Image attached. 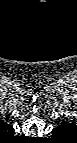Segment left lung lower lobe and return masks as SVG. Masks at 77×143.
I'll return each mask as SVG.
<instances>
[{
    "label": "left lung lower lobe",
    "mask_w": 77,
    "mask_h": 143,
    "mask_svg": "<svg viewBox=\"0 0 77 143\" xmlns=\"http://www.w3.org/2000/svg\"><path fill=\"white\" fill-rule=\"evenodd\" d=\"M52 133H53V136H54V137H59V136H60V134H59L58 132H57V133H55V131H54V130H53V132H52Z\"/></svg>",
    "instance_id": "0a47b994"
}]
</instances>
